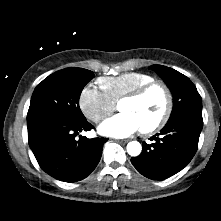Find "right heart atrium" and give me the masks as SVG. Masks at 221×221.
<instances>
[{
	"label": "right heart atrium",
	"mask_w": 221,
	"mask_h": 221,
	"mask_svg": "<svg viewBox=\"0 0 221 221\" xmlns=\"http://www.w3.org/2000/svg\"><path fill=\"white\" fill-rule=\"evenodd\" d=\"M79 107L88 120L99 123L113 113L115 103L103 91L88 85L80 93Z\"/></svg>",
	"instance_id": "obj_1"
}]
</instances>
